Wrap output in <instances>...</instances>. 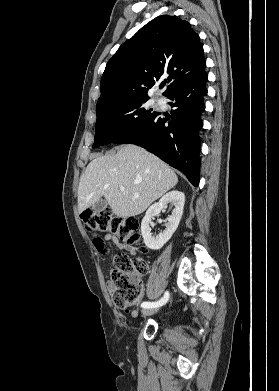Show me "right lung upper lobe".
Instances as JSON below:
<instances>
[{"mask_svg": "<svg viewBox=\"0 0 279 391\" xmlns=\"http://www.w3.org/2000/svg\"><path fill=\"white\" fill-rule=\"evenodd\" d=\"M199 36L190 23L162 15L120 46L101 79L96 113L148 99V90L162 80L164 96L205 71Z\"/></svg>", "mask_w": 279, "mask_h": 391, "instance_id": "cb5924a9", "label": "right lung upper lobe"}]
</instances>
